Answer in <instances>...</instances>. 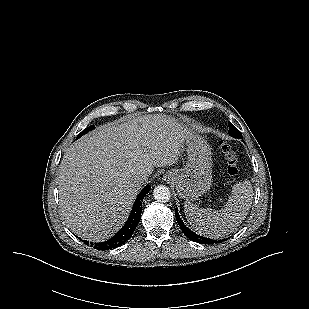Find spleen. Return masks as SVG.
<instances>
[{
	"mask_svg": "<svg viewBox=\"0 0 309 309\" xmlns=\"http://www.w3.org/2000/svg\"><path fill=\"white\" fill-rule=\"evenodd\" d=\"M253 199L250 181L235 184L231 196L221 210L199 208L185 204V215L191 227L200 235L221 238L233 232L246 218Z\"/></svg>",
	"mask_w": 309,
	"mask_h": 309,
	"instance_id": "obj_1",
	"label": "spleen"
}]
</instances>
